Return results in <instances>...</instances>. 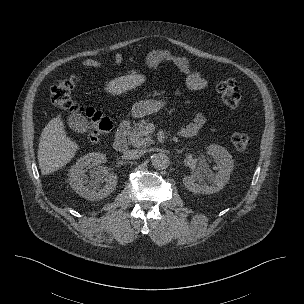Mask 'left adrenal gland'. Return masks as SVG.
Masks as SVG:
<instances>
[{
	"instance_id": "left-adrenal-gland-1",
	"label": "left adrenal gland",
	"mask_w": 304,
	"mask_h": 304,
	"mask_svg": "<svg viewBox=\"0 0 304 304\" xmlns=\"http://www.w3.org/2000/svg\"><path fill=\"white\" fill-rule=\"evenodd\" d=\"M183 150H184V149H182V150H177V152H178V153H182V152H183Z\"/></svg>"
}]
</instances>
